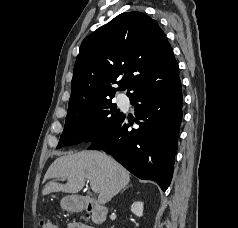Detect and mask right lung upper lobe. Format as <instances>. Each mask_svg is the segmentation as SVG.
Wrapping results in <instances>:
<instances>
[{"instance_id":"cb5924a9","label":"right lung upper lobe","mask_w":238,"mask_h":228,"mask_svg":"<svg viewBox=\"0 0 238 228\" xmlns=\"http://www.w3.org/2000/svg\"><path fill=\"white\" fill-rule=\"evenodd\" d=\"M175 76L178 64L157 21L140 12L122 13L83 40L68 110L111 100L123 86L130 98Z\"/></svg>"}]
</instances>
